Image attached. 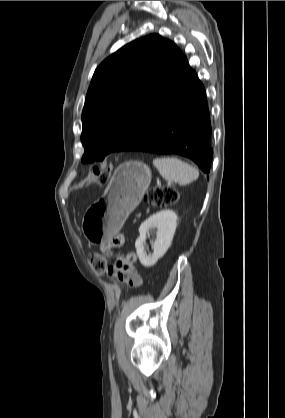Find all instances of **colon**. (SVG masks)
Listing matches in <instances>:
<instances>
[{
	"label": "colon",
	"instance_id": "colon-1",
	"mask_svg": "<svg viewBox=\"0 0 285 418\" xmlns=\"http://www.w3.org/2000/svg\"><path fill=\"white\" fill-rule=\"evenodd\" d=\"M91 177L100 185L108 183V169L95 168ZM178 192L174 189L168 188L165 185H158L149 189L145 195L146 201L155 207H163L173 205L178 201ZM109 250H101L93 252L88 256V261L91 267L100 274L108 271V258L110 256ZM131 261L134 257L131 256Z\"/></svg>",
	"mask_w": 285,
	"mask_h": 418
}]
</instances>
